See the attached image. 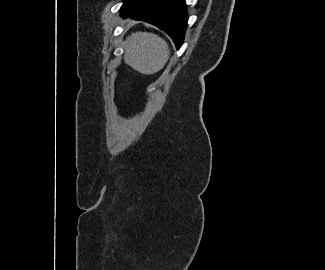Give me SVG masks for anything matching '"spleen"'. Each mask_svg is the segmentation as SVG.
I'll return each instance as SVG.
<instances>
[{"mask_svg":"<svg viewBox=\"0 0 325 270\" xmlns=\"http://www.w3.org/2000/svg\"><path fill=\"white\" fill-rule=\"evenodd\" d=\"M124 61L142 74L160 71L169 58L167 42L153 33L136 32L124 42Z\"/></svg>","mask_w":325,"mask_h":270,"instance_id":"obj_1","label":"spleen"}]
</instances>
